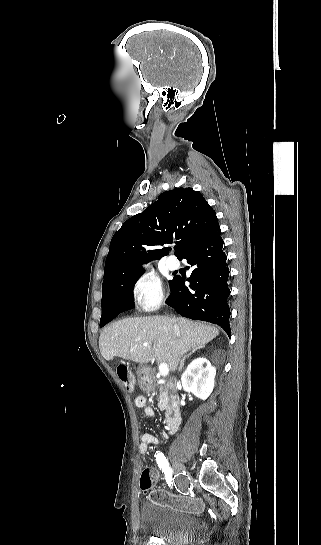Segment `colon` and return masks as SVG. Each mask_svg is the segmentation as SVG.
Wrapping results in <instances>:
<instances>
[{"instance_id": "colon-1", "label": "colon", "mask_w": 321, "mask_h": 545, "mask_svg": "<svg viewBox=\"0 0 321 545\" xmlns=\"http://www.w3.org/2000/svg\"><path fill=\"white\" fill-rule=\"evenodd\" d=\"M117 374L128 390L135 386L134 377L126 366H119ZM154 478L150 469L142 471L140 476V487L143 491H150L151 499L156 503L188 512H201L202 502L192 496L185 494H173L162 490H153Z\"/></svg>"}]
</instances>
